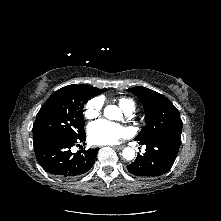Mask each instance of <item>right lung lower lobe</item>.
<instances>
[{
  "instance_id": "right-lung-lower-lobe-1",
  "label": "right lung lower lobe",
  "mask_w": 221,
  "mask_h": 221,
  "mask_svg": "<svg viewBox=\"0 0 221 221\" xmlns=\"http://www.w3.org/2000/svg\"><path fill=\"white\" fill-rule=\"evenodd\" d=\"M85 141V134L72 141L51 140L34 147L36 158L42 168L59 178H73L86 173L94 164L99 148L77 153L71 147Z\"/></svg>"
}]
</instances>
